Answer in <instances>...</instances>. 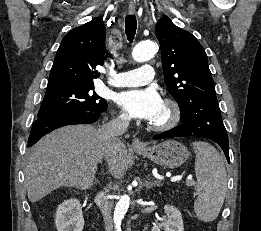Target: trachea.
<instances>
[{"mask_svg":"<svg viewBox=\"0 0 261 231\" xmlns=\"http://www.w3.org/2000/svg\"><path fill=\"white\" fill-rule=\"evenodd\" d=\"M137 28V20L134 15L126 16L125 20V33L127 35V39L132 41L134 39Z\"/></svg>","mask_w":261,"mask_h":231,"instance_id":"1","label":"trachea"}]
</instances>
